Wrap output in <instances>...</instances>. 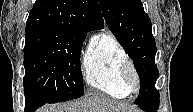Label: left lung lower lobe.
I'll list each match as a JSON object with an SVG mask.
<instances>
[{
	"label": "left lung lower lobe",
	"instance_id": "1",
	"mask_svg": "<svg viewBox=\"0 0 193 112\" xmlns=\"http://www.w3.org/2000/svg\"><path fill=\"white\" fill-rule=\"evenodd\" d=\"M142 110H144L145 112H157L158 108H159V97L147 104L141 105L139 106Z\"/></svg>",
	"mask_w": 193,
	"mask_h": 112
}]
</instances>
